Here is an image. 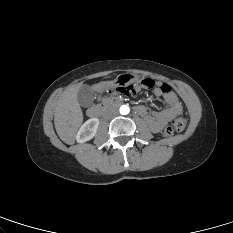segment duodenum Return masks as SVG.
Here are the masks:
<instances>
[{
    "label": "duodenum",
    "mask_w": 233,
    "mask_h": 233,
    "mask_svg": "<svg viewBox=\"0 0 233 233\" xmlns=\"http://www.w3.org/2000/svg\"><path fill=\"white\" fill-rule=\"evenodd\" d=\"M120 104H121L120 99L110 98V99L105 100L103 103L99 105L90 107L88 109L87 114L90 118L96 119V118H99L106 109L113 107V106L120 105Z\"/></svg>",
    "instance_id": "obj_1"
}]
</instances>
